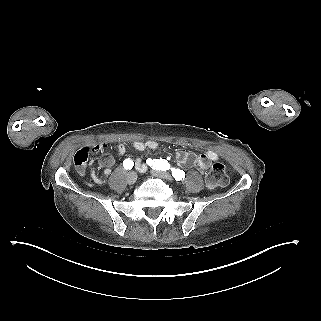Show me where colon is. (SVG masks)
<instances>
[{"instance_id": "obj_1", "label": "colon", "mask_w": 321, "mask_h": 321, "mask_svg": "<svg viewBox=\"0 0 321 321\" xmlns=\"http://www.w3.org/2000/svg\"><path fill=\"white\" fill-rule=\"evenodd\" d=\"M75 165L79 173L85 172L86 160L84 157H75ZM228 174L224 164L214 163L206 175V183L210 188L222 187L227 183Z\"/></svg>"}]
</instances>
